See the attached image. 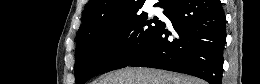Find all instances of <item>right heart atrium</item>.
Returning a JSON list of instances; mask_svg holds the SVG:
<instances>
[{"label": "right heart atrium", "instance_id": "right-heart-atrium-1", "mask_svg": "<svg viewBox=\"0 0 260 84\" xmlns=\"http://www.w3.org/2000/svg\"><path fill=\"white\" fill-rule=\"evenodd\" d=\"M127 38L128 33L124 30H117L114 32L110 41V47L114 54H119L123 50Z\"/></svg>", "mask_w": 260, "mask_h": 84}]
</instances>
